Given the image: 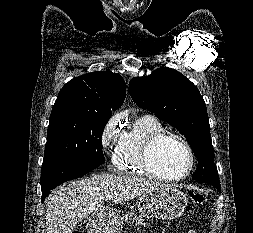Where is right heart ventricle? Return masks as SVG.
<instances>
[{"label":"right heart ventricle","instance_id":"1","mask_svg":"<svg viewBox=\"0 0 253 233\" xmlns=\"http://www.w3.org/2000/svg\"><path fill=\"white\" fill-rule=\"evenodd\" d=\"M165 131L162 123L152 115L137 118L119 135L114 148L112 163L117 171L148 176L141 156L145 142L154 134Z\"/></svg>","mask_w":253,"mask_h":233}]
</instances>
